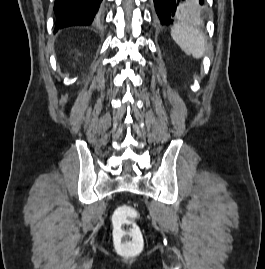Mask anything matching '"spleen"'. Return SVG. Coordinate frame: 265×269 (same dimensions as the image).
Segmentation results:
<instances>
[{"label":"spleen","mask_w":265,"mask_h":269,"mask_svg":"<svg viewBox=\"0 0 265 269\" xmlns=\"http://www.w3.org/2000/svg\"><path fill=\"white\" fill-rule=\"evenodd\" d=\"M171 36L187 55H192L196 59L204 55L206 41L198 28L191 25H174Z\"/></svg>","instance_id":"spleen-1"}]
</instances>
